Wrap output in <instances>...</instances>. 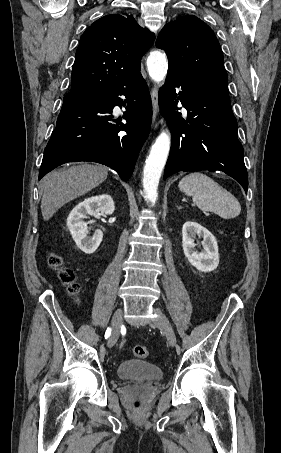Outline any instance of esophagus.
<instances>
[{
  "label": "esophagus",
  "instance_id": "1",
  "mask_svg": "<svg viewBox=\"0 0 281 453\" xmlns=\"http://www.w3.org/2000/svg\"><path fill=\"white\" fill-rule=\"evenodd\" d=\"M151 98H152V109H153L152 122L154 123L157 118V114H158V94H157V89L155 87L152 88Z\"/></svg>",
  "mask_w": 281,
  "mask_h": 453
}]
</instances>
